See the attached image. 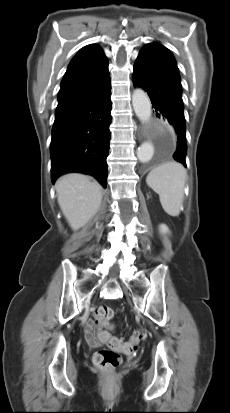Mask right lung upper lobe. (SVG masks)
<instances>
[{"label":"right lung upper lobe","instance_id":"cb5924a9","mask_svg":"<svg viewBox=\"0 0 230 413\" xmlns=\"http://www.w3.org/2000/svg\"><path fill=\"white\" fill-rule=\"evenodd\" d=\"M108 70V60L96 44L83 47L71 60L61 87L85 81Z\"/></svg>","mask_w":230,"mask_h":413}]
</instances>
